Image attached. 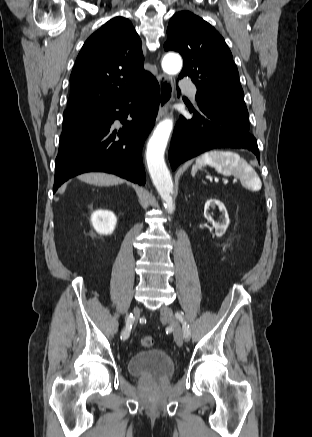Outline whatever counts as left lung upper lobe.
<instances>
[{
	"mask_svg": "<svg viewBox=\"0 0 312 437\" xmlns=\"http://www.w3.org/2000/svg\"><path fill=\"white\" fill-rule=\"evenodd\" d=\"M164 49L179 52L184 66L179 78L189 76L197 87L196 100L219 108L248 133V111L239 73L223 37L189 11L173 15Z\"/></svg>",
	"mask_w": 312,
	"mask_h": 437,
	"instance_id": "1",
	"label": "left lung upper lobe"
}]
</instances>
